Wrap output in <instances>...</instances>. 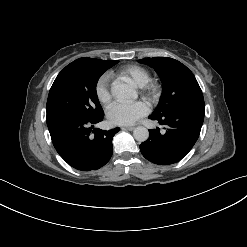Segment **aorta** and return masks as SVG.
<instances>
[{"label": "aorta", "mask_w": 247, "mask_h": 247, "mask_svg": "<svg viewBox=\"0 0 247 247\" xmlns=\"http://www.w3.org/2000/svg\"><path fill=\"white\" fill-rule=\"evenodd\" d=\"M111 93L116 99L123 101L135 95L133 86L129 83L115 81L111 87ZM133 136L138 142H144L149 137V131L143 126H138L133 131Z\"/></svg>", "instance_id": "aorta-1"}]
</instances>
